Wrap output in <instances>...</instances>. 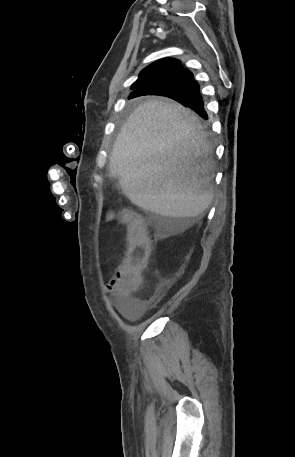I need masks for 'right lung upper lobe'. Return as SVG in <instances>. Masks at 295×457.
I'll return each instance as SVG.
<instances>
[{"label":"right lung upper lobe","mask_w":295,"mask_h":457,"mask_svg":"<svg viewBox=\"0 0 295 457\" xmlns=\"http://www.w3.org/2000/svg\"><path fill=\"white\" fill-rule=\"evenodd\" d=\"M182 70L183 67L179 60L173 58L158 60L141 71L138 80L132 84L131 88L138 90L149 85L173 80Z\"/></svg>","instance_id":"obj_1"}]
</instances>
